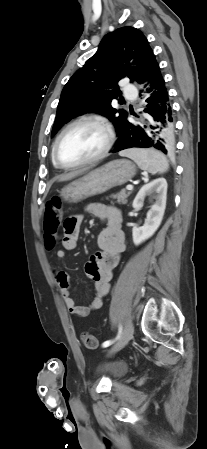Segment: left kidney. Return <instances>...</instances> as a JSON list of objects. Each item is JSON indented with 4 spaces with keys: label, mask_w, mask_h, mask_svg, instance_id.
<instances>
[{
    "label": "left kidney",
    "mask_w": 207,
    "mask_h": 449,
    "mask_svg": "<svg viewBox=\"0 0 207 449\" xmlns=\"http://www.w3.org/2000/svg\"><path fill=\"white\" fill-rule=\"evenodd\" d=\"M167 182L164 178H157L141 187L137 193L133 208L140 209L146 196H152L156 201L147 213L145 224L142 227L135 226L132 230L133 242L139 245L149 239L159 228L166 207Z\"/></svg>",
    "instance_id": "obj_1"
}]
</instances>
